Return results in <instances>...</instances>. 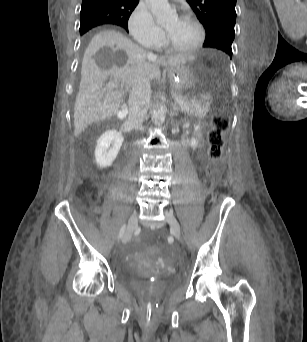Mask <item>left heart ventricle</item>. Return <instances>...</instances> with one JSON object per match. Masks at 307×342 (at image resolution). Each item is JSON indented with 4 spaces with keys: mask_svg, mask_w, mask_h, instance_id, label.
<instances>
[{
    "mask_svg": "<svg viewBox=\"0 0 307 342\" xmlns=\"http://www.w3.org/2000/svg\"><path fill=\"white\" fill-rule=\"evenodd\" d=\"M168 46L174 50L191 47L198 38L196 28L188 22L174 20L165 27Z\"/></svg>",
    "mask_w": 307,
    "mask_h": 342,
    "instance_id": "left-heart-ventricle-1",
    "label": "left heart ventricle"
}]
</instances>
